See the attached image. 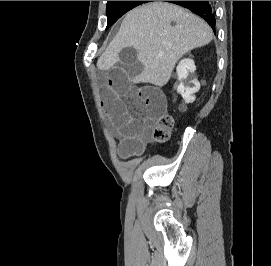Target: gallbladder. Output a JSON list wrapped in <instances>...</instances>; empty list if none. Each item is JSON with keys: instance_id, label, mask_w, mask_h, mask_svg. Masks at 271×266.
<instances>
[{"instance_id": "gallbladder-1", "label": "gallbladder", "mask_w": 271, "mask_h": 266, "mask_svg": "<svg viewBox=\"0 0 271 266\" xmlns=\"http://www.w3.org/2000/svg\"><path fill=\"white\" fill-rule=\"evenodd\" d=\"M120 60L117 62V67L128 78H135L143 71V65L138 60V53L133 47H126L119 53Z\"/></svg>"}]
</instances>
